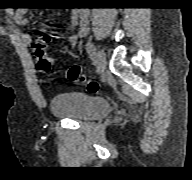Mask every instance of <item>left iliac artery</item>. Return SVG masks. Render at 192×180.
<instances>
[{"label": "left iliac artery", "mask_w": 192, "mask_h": 180, "mask_svg": "<svg viewBox=\"0 0 192 180\" xmlns=\"http://www.w3.org/2000/svg\"><path fill=\"white\" fill-rule=\"evenodd\" d=\"M86 50H87L88 54H89L91 57L94 56L95 53H96V48H95L94 44H93L91 41H88V42L86 43Z\"/></svg>", "instance_id": "obj_1"}]
</instances>
